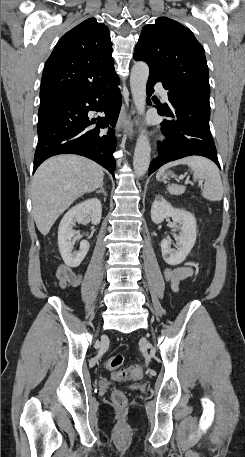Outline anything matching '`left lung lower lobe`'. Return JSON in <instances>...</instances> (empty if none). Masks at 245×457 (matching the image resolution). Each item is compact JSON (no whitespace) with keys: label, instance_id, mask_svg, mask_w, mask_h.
I'll return each instance as SVG.
<instances>
[{"label":"left lung lower lobe","instance_id":"0a47b994","mask_svg":"<svg viewBox=\"0 0 245 457\" xmlns=\"http://www.w3.org/2000/svg\"><path fill=\"white\" fill-rule=\"evenodd\" d=\"M162 82L160 78L151 73L147 82V95L154 90L153 85ZM166 90L169 88L162 82ZM171 94L169 90L168 96ZM151 105L150 99H147ZM158 114L169 119L161 123V132L167 140L158 143L159 156L153 159L149 167V175L162 165L187 156L199 155L209 158L220 168L217 151L209 126L210 109L197 108L184 102L171 101L169 106L155 102Z\"/></svg>","mask_w":245,"mask_h":457}]
</instances>
